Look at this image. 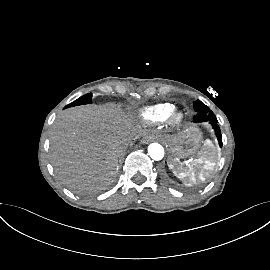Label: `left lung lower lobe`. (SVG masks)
<instances>
[{"label":"left lung lower lobe","mask_w":270,"mask_h":270,"mask_svg":"<svg viewBox=\"0 0 270 270\" xmlns=\"http://www.w3.org/2000/svg\"><path fill=\"white\" fill-rule=\"evenodd\" d=\"M210 122V124L212 125L213 129L215 130V134L218 138V141H219V144H220V147L222 146V136H221V132H220V128L217 124L218 120L217 118L214 116V117H207V118H204L202 119L201 121L199 122Z\"/></svg>","instance_id":"1"}]
</instances>
